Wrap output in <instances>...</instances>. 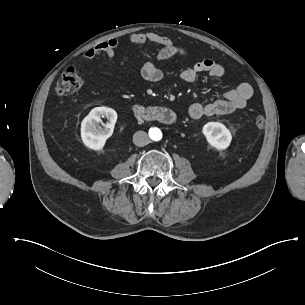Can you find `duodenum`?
<instances>
[{
	"label": "duodenum",
	"instance_id": "410a0bca",
	"mask_svg": "<svg viewBox=\"0 0 305 305\" xmlns=\"http://www.w3.org/2000/svg\"><path fill=\"white\" fill-rule=\"evenodd\" d=\"M132 110L139 120L145 122L171 125L176 119L175 113L165 106L135 104Z\"/></svg>",
	"mask_w": 305,
	"mask_h": 305
}]
</instances>
